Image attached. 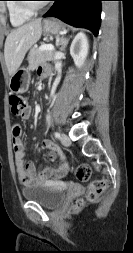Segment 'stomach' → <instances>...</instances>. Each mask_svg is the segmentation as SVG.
I'll return each instance as SVG.
<instances>
[{
	"instance_id": "0dacf381",
	"label": "stomach",
	"mask_w": 133,
	"mask_h": 253,
	"mask_svg": "<svg viewBox=\"0 0 133 253\" xmlns=\"http://www.w3.org/2000/svg\"><path fill=\"white\" fill-rule=\"evenodd\" d=\"M63 27L55 20L43 21V32L46 36L59 35L63 31ZM30 70L28 68H19L11 76L9 88L13 93H24L29 88Z\"/></svg>"
}]
</instances>
